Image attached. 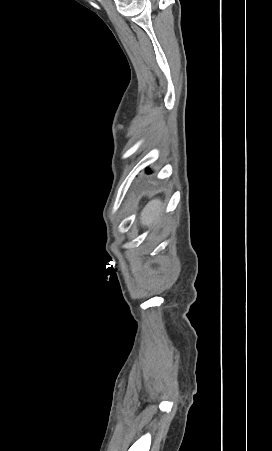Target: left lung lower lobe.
<instances>
[{
    "mask_svg": "<svg viewBox=\"0 0 272 451\" xmlns=\"http://www.w3.org/2000/svg\"><path fill=\"white\" fill-rule=\"evenodd\" d=\"M146 172H147V173H150V170L147 169Z\"/></svg>",
    "mask_w": 272,
    "mask_h": 451,
    "instance_id": "1",
    "label": "left lung lower lobe"
}]
</instances>
